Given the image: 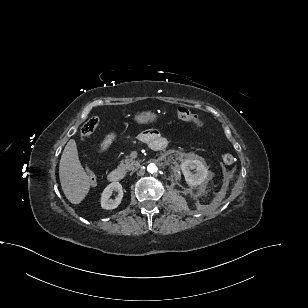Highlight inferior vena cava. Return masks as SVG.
I'll use <instances>...</instances> for the list:
<instances>
[{
  "instance_id": "602c4592",
  "label": "inferior vena cava",
  "mask_w": 308,
  "mask_h": 308,
  "mask_svg": "<svg viewBox=\"0 0 308 308\" xmlns=\"http://www.w3.org/2000/svg\"><path fill=\"white\" fill-rule=\"evenodd\" d=\"M131 174H137V169H131Z\"/></svg>"
}]
</instances>
